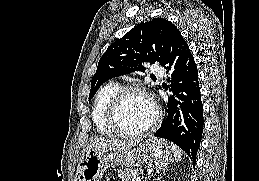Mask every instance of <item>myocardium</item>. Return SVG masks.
<instances>
[{"instance_id":"1","label":"myocardium","mask_w":259,"mask_h":181,"mask_svg":"<svg viewBox=\"0 0 259 181\" xmlns=\"http://www.w3.org/2000/svg\"><path fill=\"white\" fill-rule=\"evenodd\" d=\"M130 94H139L148 99L155 111L153 121L148 126L138 131L126 130L121 126L119 121V112L123 101ZM107 120L109 125L114 129L116 133L128 138H138L149 134L158 126L161 120V111L155 103L151 94L145 88L137 85H129L120 87L113 95L107 110Z\"/></svg>"}]
</instances>
